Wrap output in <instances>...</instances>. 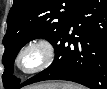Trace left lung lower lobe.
Returning a JSON list of instances; mask_svg holds the SVG:
<instances>
[{
	"instance_id": "1",
	"label": "left lung lower lobe",
	"mask_w": 107,
	"mask_h": 89,
	"mask_svg": "<svg viewBox=\"0 0 107 89\" xmlns=\"http://www.w3.org/2000/svg\"><path fill=\"white\" fill-rule=\"evenodd\" d=\"M53 63L20 84L68 80L91 89L107 87V0H82L52 44Z\"/></svg>"
}]
</instances>
